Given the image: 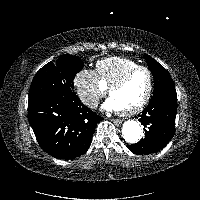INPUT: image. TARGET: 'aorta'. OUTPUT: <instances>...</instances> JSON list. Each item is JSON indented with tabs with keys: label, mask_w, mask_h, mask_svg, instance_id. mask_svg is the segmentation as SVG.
<instances>
[{
	"label": "aorta",
	"mask_w": 200,
	"mask_h": 200,
	"mask_svg": "<svg viewBox=\"0 0 200 200\" xmlns=\"http://www.w3.org/2000/svg\"><path fill=\"white\" fill-rule=\"evenodd\" d=\"M122 134L126 142L136 143L141 135V127L137 121L128 120L123 124Z\"/></svg>",
	"instance_id": "aorta-1"
}]
</instances>
